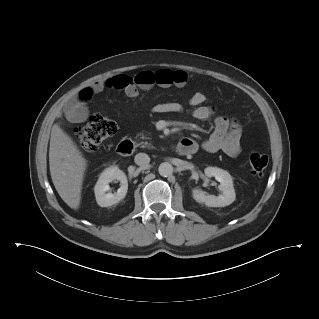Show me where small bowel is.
<instances>
[{"mask_svg":"<svg viewBox=\"0 0 319 319\" xmlns=\"http://www.w3.org/2000/svg\"><path fill=\"white\" fill-rule=\"evenodd\" d=\"M187 80L188 74L185 71H172L169 69H161L156 72L143 71L134 79L127 75H112L84 87L79 92L77 98L69 103L67 119L73 123L85 121L89 114L86 101L104 90H122L128 97L136 98L139 95V89L148 90L155 84L164 88L172 85L181 86ZM205 102L206 96L202 92L194 93L189 99V105L193 107V116L196 119H214V131L202 143V148L210 153L223 151L231 157L238 156L241 152V126L233 118L217 114L216 110L211 106L205 105ZM182 110L183 106L178 102L162 103L154 107V112L159 114L178 113ZM185 139L192 140L190 138ZM197 149L198 144L196 143V149L193 153Z\"/></svg>","mask_w":319,"mask_h":319,"instance_id":"small-bowel-1","label":"small bowel"}]
</instances>
